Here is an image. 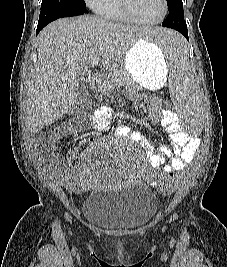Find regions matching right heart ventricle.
Returning a JSON list of instances; mask_svg holds the SVG:
<instances>
[{"mask_svg": "<svg viewBox=\"0 0 227 267\" xmlns=\"http://www.w3.org/2000/svg\"><path fill=\"white\" fill-rule=\"evenodd\" d=\"M101 15L113 21L131 22V20L121 10L119 0H111L110 4L101 13Z\"/></svg>", "mask_w": 227, "mask_h": 267, "instance_id": "e07e8e85", "label": "right heart ventricle"}]
</instances>
